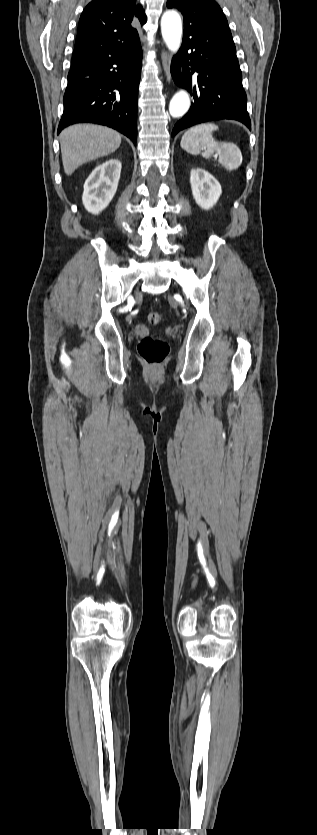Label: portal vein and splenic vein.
<instances>
[{
  "mask_svg": "<svg viewBox=\"0 0 317 835\" xmlns=\"http://www.w3.org/2000/svg\"><path fill=\"white\" fill-rule=\"evenodd\" d=\"M217 158H218V156H217V155H215V156H214V159H215V160H217Z\"/></svg>",
  "mask_w": 317,
  "mask_h": 835,
  "instance_id": "obj_1",
  "label": "portal vein and splenic vein"
}]
</instances>
